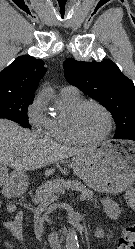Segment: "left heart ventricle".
I'll use <instances>...</instances> for the list:
<instances>
[{
	"mask_svg": "<svg viewBox=\"0 0 135 249\" xmlns=\"http://www.w3.org/2000/svg\"><path fill=\"white\" fill-rule=\"evenodd\" d=\"M76 126L84 138L96 139L106 132L107 119L100 109L88 106L80 113Z\"/></svg>",
	"mask_w": 135,
	"mask_h": 249,
	"instance_id": "b2bd125f",
	"label": "left heart ventricle"
}]
</instances>
